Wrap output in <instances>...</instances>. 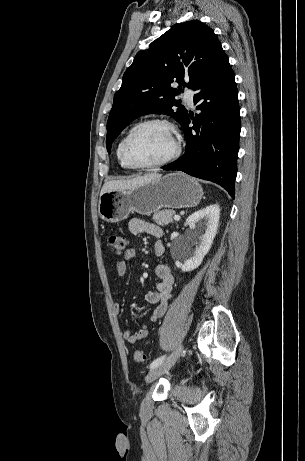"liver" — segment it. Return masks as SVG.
<instances>
[{
	"mask_svg": "<svg viewBox=\"0 0 305 461\" xmlns=\"http://www.w3.org/2000/svg\"><path fill=\"white\" fill-rule=\"evenodd\" d=\"M160 177H161L160 174L151 173V174H146L144 176H139V177L131 178V179L108 181L103 185L100 196L109 191L132 189V188L144 185Z\"/></svg>",
	"mask_w": 305,
	"mask_h": 461,
	"instance_id": "6515ba94",
	"label": "liver"
}]
</instances>
